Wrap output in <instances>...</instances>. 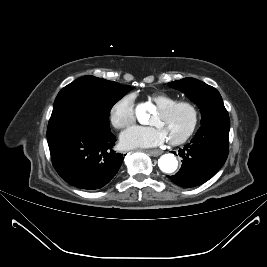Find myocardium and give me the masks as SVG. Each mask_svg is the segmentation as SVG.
I'll return each instance as SVG.
<instances>
[{"label": "myocardium", "instance_id": "1", "mask_svg": "<svg viewBox=\"0 0 267 267\" xmlns=\"http://www.w3.org/2000/svg\"><path fill=\"white\" fill-rule=\"evenodd\" d=\"M179 107H187L188 109H190L192 113V122L183 135L178 138L168 139V143L171 145H179L186 142L196 131L200 120V113L198 107L190 101H176L169 105L158 108V112L163 115H166Z\"/></svg>", "mask_w": 267, "mask_h": 267}]
</instances>
